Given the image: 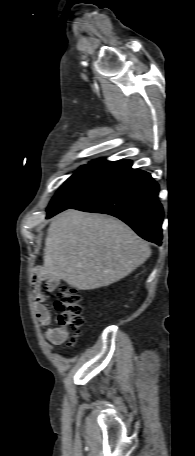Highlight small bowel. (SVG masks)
I'll use <instances>...</instances> for the list:
<instances>
[{
  "mask_svg": "<svg viewBox=\"0 0 195 456\" xmlns=\"http://www.w3.org/2000/svg\"><path fill=\"white\" fill-rule=\"evenodd\" d=\"M43 282V288L41 287ZM57 281L53 276H45L33 280L31 293L35 301V314L40 323L45 326L51 325V313L46 306V296L42 290L52 292L55 290ZM47 339L53 344H61L66 340V333L58 328L49 327L46 331Z\"/></svg>",
  "mask_w": 195,
  "mask_h": 456,
  "instance_id": "obj_1",
  "label": "small bowel"
}]
</instances>
